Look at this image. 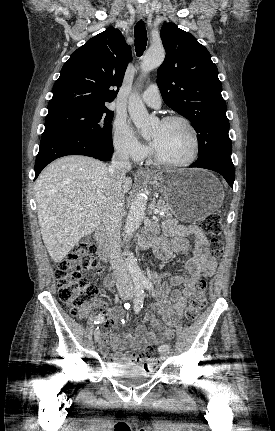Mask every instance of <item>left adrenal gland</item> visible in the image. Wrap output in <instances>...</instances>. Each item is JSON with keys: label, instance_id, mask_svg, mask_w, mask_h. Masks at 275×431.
Here are the masks:
<instances>
[{"label": "left adrenal gland", "instance_id": "a2214340", "mask_svg": "<svg viewBox=\"0 0 275 431\" xmlns=\"http://www.w3.org/2000/svg\"><path fill=\"white\" fill-rule=\"evenodd\" d=\"M154 204H155V199H153V202H152V204H151V210L149 211V214L151 215L152 214V209L154 208Z\"/></svg>", "mask_w": 275, "mask_h": 431}]
</instances>
